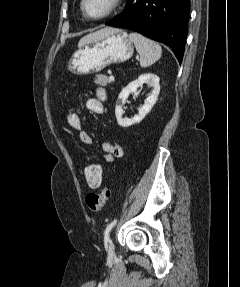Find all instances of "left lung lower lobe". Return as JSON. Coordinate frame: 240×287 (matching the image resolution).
<instances>
[{
	"instance_id": "0a47b994",
	"label": "left lung lower lobe",
	"mask_w": 240,
	"mask_h": 287,
	"mask_svg": "<svg viewBox=\"0 0 240 287\" xmlns=\"http://www.w3.org/2000/svg\"><path fill=\"white\" fill-rule=\"evenodd\" d=\"M189 0H129L106 25L126 28L167 44L182 62L188 31Z\"/></svg>"
}]
</instances>
